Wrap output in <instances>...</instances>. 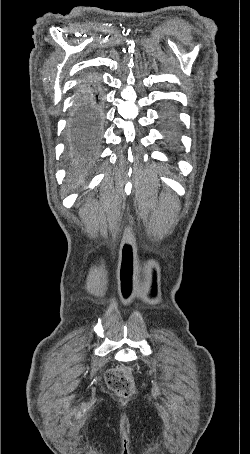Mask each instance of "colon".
<instances>
[{"instance_id": "colon-1", "label": "colon", "mask_w": 250, "mask_h": 454, "mask_svg": "<svg viewBox=\"0 0 250 454\" xmlns=\"http://www.w3.org/2000/svg\"><path fill=\"white\" fill-rule=\"evenodd\" d=\"M106 382L110 390L119 397H129L134 393V382L131 371L118 367L106 373Z\"/></svg>"}]
</instances>
